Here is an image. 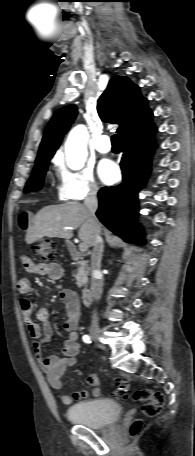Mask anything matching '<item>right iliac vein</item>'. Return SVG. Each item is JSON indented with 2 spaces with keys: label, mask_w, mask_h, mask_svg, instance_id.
<instances>
[{
  "label": "right iliac vein",
  "mask_w": 195,
  "mask_h": 456,
  "mask_svg": "<svg viewBox=\"0 0 195 456\" xmlns=\"http://www.w3.org/2000/svg\"><path fill=\"white\" fill-rule=\"evenodd\" d=\"M90 335L92 337L93 340L95 341H98L99 337H100V330L98 327H92L90 329Z\"/></svg>",
  "instance_id": "1"
}]
</instances>
